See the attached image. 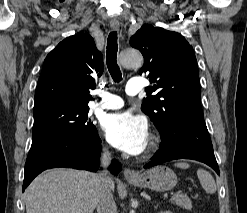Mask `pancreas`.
Returning <instances> with one entry per match:
<instances>
[{"instance_id":"obj_1","label":"pancreas","mask_w":247,"mask_h":213,"mask_svg":"<svg viewBox=\"0 0 247 213\" xmlns=\"http://www.w3.org/2000/svg\"><path fill=\"white\" fill-rule=\"evenodd\" d=\"M173 203L177 206L183 207L190 210L192 208V203L190 198L184 194H177L175 198L172 199Z\"/></svg>"}]
</instances>
